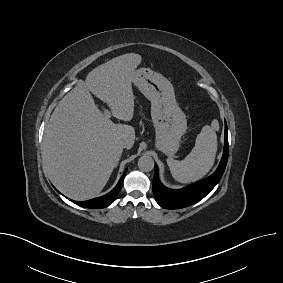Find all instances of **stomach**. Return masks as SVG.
<instances>
[{
  "label": "stomach",
  "mask_w": 283,
  "mask_h": 283,
  "mask_svg": "<svg viewBox=\"0 0 283 283\" xmlns=\"http://www.w3.org/2000/svg\"><path fill=\"white\" fill-rule=\"evenodd\" d=\"M133 83L151 101L156 148L169 157L173 156L187 129L186 116L176 102L173 85L149 68L135 70Z\"/></svg>",
  "instance_id": "1"
}]
</instances>
